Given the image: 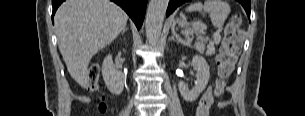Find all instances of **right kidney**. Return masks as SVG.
Masks as SVG:
<instances>
[{"label":"right kidney","instance_id":"1","mask_svg":"<svg viewBox=\"0 0 305 116\" xmlns=\"http://www.w3.org/2000/svg\"><path fill=\"white\" fill-rule=\"evenodd\" d=\"M125 52V50H124ZM102 75L104 82L112 94L120 95L123 91L124 84L126 82V76L124 73L116 69L112 55L105 57L102 64Z\"/></svg>","mask_w":305,"mask_h":116}]
</instances>
